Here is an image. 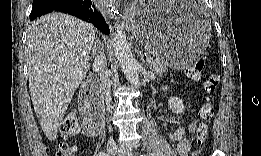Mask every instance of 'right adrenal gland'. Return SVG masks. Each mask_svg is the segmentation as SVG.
<instances>
[{"label":"right adrenal gland","instance_id":"1","mask_svg":"<svg viewBox=\"0 0 261 156\" xmlns=\"http://www.w3.org/2000/svg\"><path fill=\"white\" fill-rule=\"evenodd\" d=\"M102 50H103V46L101 45L100 40L97 38L96 41H95V43H94V47H93V50H92L91 55H92L93 57H97V56H98V53H99L100 51H102Z\"/></svg>","mask_w":261,"mask_h":156}]
</instances>
